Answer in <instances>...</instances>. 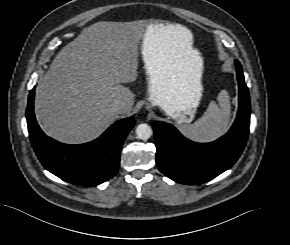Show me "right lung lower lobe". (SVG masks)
I'll return each mask as SVG.
<instances>
[{"label": "right lung lower lobe", "instance_id": "98d812e1", "mask_svg": "<svg viewBox=\"0 0 290 245\" xmlns=\"http://www.w3.org/2000/svg\"><path fill=\"white\" fill-rule=\"evenodd\" d=\"M26 119L29 138L42 165L64 181L80 186H95L112 178L118 171L120 151L135 124L134 118L122 119L96 140L67 145L46 136L34 116V89L30 91Z\"/></svg>", "mask_w": 290, "mask_h": 245}]
</instances>
